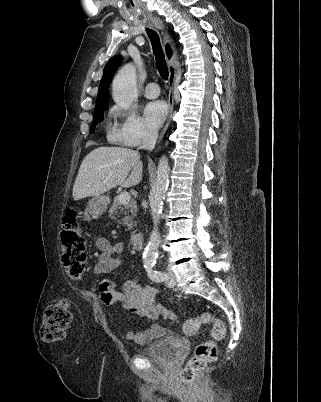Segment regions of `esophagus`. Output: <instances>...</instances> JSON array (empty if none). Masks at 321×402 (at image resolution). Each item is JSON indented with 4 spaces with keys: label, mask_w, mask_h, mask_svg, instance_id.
<instances>
[{
    "label": "esophagus",
    "mask_w": 321,
    "mask_h": 402,
    "mask_svg": "<svg viewBox=\"0 0 321 402\" xmlns=\"http://www.w3.org/2000/svg\"><path fill=\"white\" fill-rule=\"evenodd\" d=\"M154 24L163 33V49H164V54H165L167 65H168V70H169V95H168L169 112H168L167 122L159 136V140H158V143H159L162 140L166 130L168 129V126L171 122V118L173 115V109H174L173 87H174L175 77H176L175 60H176V56H177V51H176L174 40H173L172 36L170 35V33L165 28L163 21L160 18H156L154 20Z\"/></svg>",
    "instance_id": "obj_1"
}]
</instances>
